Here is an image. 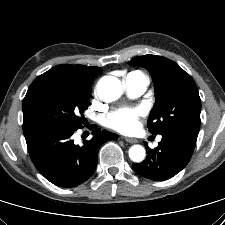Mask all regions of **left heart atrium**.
Returning <instances> with one entry per match:
<instances>
[{
    "instance_id": "obj_1",
    "label": "left heart atrium",
    "mask_w": 225,
    "mask_h": 225,
    "mask_svg": "<svg viewBox=\"0 0 225 225\" xmlns=\"http://www.w3.org/2000/svg\"><path fill=\"white\" fill-rule=\"evenodd\" d=\"M144 115L142 108L124 107L111 112L107 118V125L119 132L128 133L135 130L139 125V119Z\"/></svg>"
}]
</instances>
